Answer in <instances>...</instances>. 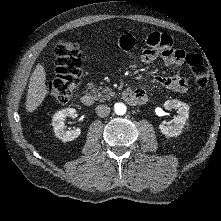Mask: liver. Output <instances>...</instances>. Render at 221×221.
Here are the masks:
<instances>
[{
  "label": "liver",
  "instance_id": "liver-1",
  "mask_svg": "<svg viewBox=\"0 0 221 221\" xmlns=\"http://www.w3.org/2000/svg\"><path fill=\"white\" fill-rule=\"evenodd\" d=\"M45 83L46 72L44 67L39 63L36 65L29 81V89L26 99L27 112H34L43 102L47 94V87Z\"/></svg>",
  "mask_w": 221,
  "mask_h": 221
}]
</instances>
